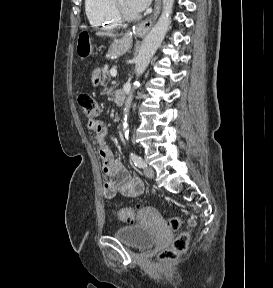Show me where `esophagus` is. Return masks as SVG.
<instances>
[{"label":"esophagus","mask_w":273,"mask_h":288,"mask_svg":"<svg viewBox=\"0 0 273 288\" xmlns=\"http://www.w3.org/2000/svg\"><path fill=\"white\" fill-rule=\"evenodd\" d=\"M161 10V0H155L154 10L150 17H148L145 21L141 22L136 28L133 30L134 33L142 36L145 35L152 25L155 23L159 13ZM127 33L132 34V31L129 30Z\"/></svg>","instance_id":"34e87169"}]
</instances>
